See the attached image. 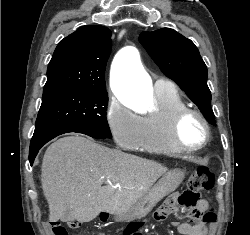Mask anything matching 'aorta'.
<instances>
[{
	"instance_id": "obj_1",
	"label": "aorta",
	"mask_w": 250,
	"mask_h": 235,
	"mask_svg": "<svg viewBox=\"0 0 250 235\" xmlns=\"http://www.w3.org/2000/svg\"><path fill=\"white\" fill-rule=\"evenodd\" d=\"M111 84L119 100L127 105H143L148 100L152 81L141 66L136 48L128 46L118 52L111 68Z\"/></svg>"
}]
</instances>
